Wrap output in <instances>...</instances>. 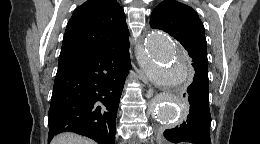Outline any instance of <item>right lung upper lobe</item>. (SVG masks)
<instances>
[{
	"instance_id": "cb5924a9",
	"label": "right lung upper lobe",
	"mask_w": 260,
	"mask_h": 144,
	"mask_svg": "<svg viewBox=\"0 0 260 144\" xmlns=\"http://www.w3.org/2000/svg\"><path fill=\"white\" fill-rule=\"evenodd\" d=\"M129 43L124 10L116 0H88L70 18L58 63Z\"/></svg>"
}]
</instances>
